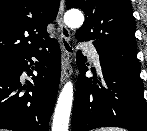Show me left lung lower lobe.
I'll return each instance as SVG.
<instances>
[{
  "label": "left lung lower lobe",
  "mask_w": 147,
  "mask_h": 131,
  "mask_svg": "<svg viewBox=\"0 0 147 131\" xmlns=\"http://www.w3.org/2000/svg\"><path fill=\"white\" fill-rule=\"evenodd\" d=\"M86 58L79 52L77 81L73 107L72 131H89L100 127H122L131 131H147V104L139 73L100 58L105 86L99 88L87 78Z\"/></svg>",
  "instance_id": "1"
}]
</instances>
